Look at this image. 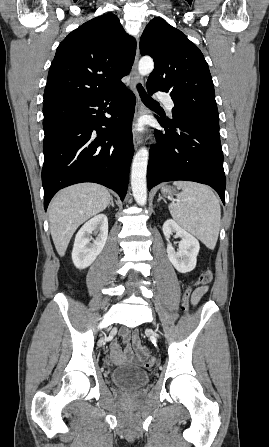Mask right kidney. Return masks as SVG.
Returning <instances> with one entry per match:
<instances>
[{
	"instance_id": "1",
	"label": "right kidney",
	"mask_w": 269,
	"mask_h": 447,
	"mask_svg": "<svg viewBox=\"0 0 269 447\" xmlns=\"http://www.w3.org/2000/svg\"><path fill=\"white\" fill-rule=\"evenodd\" d=\"M91 233H97L96 239L91 237ZM108 237V218L105 214H98L91 218L89 222L82 225L76 233L72 259L74 265L79 269H84L95 261L97 255L101 253ZM93 241V243H91Z\"/></svg>"
}]
</instances>
